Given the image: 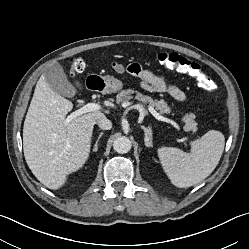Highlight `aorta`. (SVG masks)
I'll use <instances>...</instances> for the list:
<instances>
[{
  "instance_id": "obj_1",
  "label": "aorta",
  "mask_w": 249,
  "mask_h": 249,
  "mask_svg": "<svg viewBox=\"0 0 249 249\" xmlns=\"http://www.w3.org/2000/svg\"><path fill=\"white\" fill-rule=\"evenodd\" d=\"M132 143L126 136L118 137L114 140L113 148L119 154H125L131 150Z\"/></svg>"
}]
</instances>
